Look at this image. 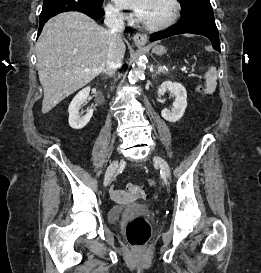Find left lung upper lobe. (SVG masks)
<instances>
[{"instance_id":"1","label":"left lung upper lobe","mask_w":261,"mask_h":273,"mask_svg":"<svg viewBox=\"0 0 261 273\" xmlns=\"http://www.w3.org/2000/svg\"><path fill=\"white\" fill-rule=\"evenodd\" d=\"M181 4V7H184L188 4H190L191 2L195 1V0H178Z\"/></svg>"}]
</instances>
